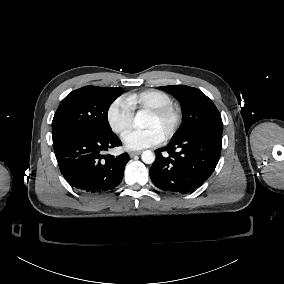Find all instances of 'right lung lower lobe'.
Listing matches in <instances>:
<instances>
[{
    "mask_svg": "<svg viewBox=\"0 0 284 284\" xmlns=\"http://www.w3.org/2000/svg\"><path fill=\"white\" fill-rule=\"evenodd\" d=\"M113 133H72L53 142L61 173L70 185L83 193L113 190L123 178L130 160L128 154L103 155L109 148L120 146Z\"/></svg>",
    "mask_w": 284,
    "mask_h": 284,
    "instance_id": "1",
    "label": "right lung lower lobe"
}]
</instances>
